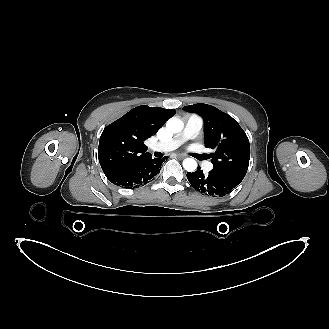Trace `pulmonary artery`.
Masks as SVG:
<instances>
[{
    "label": "pulmonary artery",
    "instance_id": "1",
    "mask_svg": "<svg viewBox=\"0 0 329 329\" xmlns=\"http://www.w3.org/2000/svg\"><path fill=\"white\" fill-rule=\"evenodd\" d=\"M202 126V118L198 115H191L187 119L185 127L181 133L171 139L158 142L154 145V149L162 152L172 151L181 146L187 140L194 139L200 132ZM212 168L213 165L211 163L204 164V169L206 171H210Z\"/></svg>",
    "mask_w": 329,
    "mask_h": 329
}]
</instances>
